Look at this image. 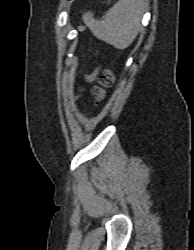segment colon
<instances>
[{"label":"colon","mask_w":194,"mask_h":250,"mask_svg":"<svg viewBox=\"0 0 194 250\" xmlns=\"http://www.w3.org/2000/svg\"><path fill=\"white\" fill-rule=\"evenodd\" d=\"M114 81L113 71L107 69L105 70L99 78V85L93 87L92 97L95 103H98L105 94V88L109 87Z\"/></svg>","instance_id":"colon-1"}]
</instances>
